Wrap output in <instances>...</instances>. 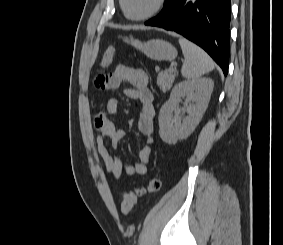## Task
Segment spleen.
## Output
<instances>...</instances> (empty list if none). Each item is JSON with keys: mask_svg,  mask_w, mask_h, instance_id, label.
Here are the masks:
<instances>
[{"mask_svg": "<svg viewBox=\"0 0 283 245\" xmlns=\"http://www.w3.org/2000/svg\"><path fill=\"white\" fill-rule=\"evenodd\" d=\"M179 44L185 58L181 69L184 78L196 80L214 69L212 59L199 46L183 37L179 38Z\"/></svg>", "mask_w": 283, "mask_h": 245, "instance_id": "3e777b00", "label": "spleen"}]
</instances>
